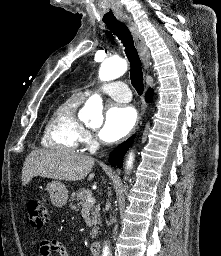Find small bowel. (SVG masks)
Masks as SVG:
<instances>
[{
  "label": "small bowel",
  "instance_id": "obj_1",
  "mask_svg": "<svg viewBox=\"0 0 221 256\" xmlns=\"http://www.w3.org/2000/svg\"><path fill=\"white\" fill-rule=\"evenodd\" d=\"M41 256H52L56 254L57 256H69L64 244L57 239H44L39 245Z\"/></svg>",
  "mask_w": 221,
  "mask_h": 256
}]
</instances>
